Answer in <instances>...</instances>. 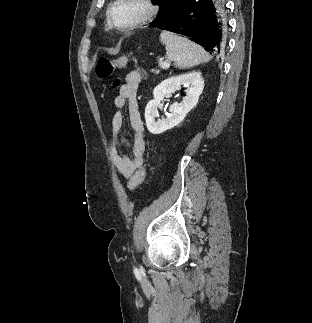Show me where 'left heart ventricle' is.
I'll use <instances>...</instances> for the list:
<instances>
[{"label":"left heart ventricle","mask_w":312,"mask_h":323,"mask_svg":"<svg viewBox=\"0 0 312 323\" xmlns=\"http://www.w3.org/2000/svg\"><path fill=\"white\" fill-rule=\"evenodd\" d=\"M113 18H144L139 2H121L120 7L112 8Z\"/></svg>","instance_id":"b2bd125f"}]
</instances>
